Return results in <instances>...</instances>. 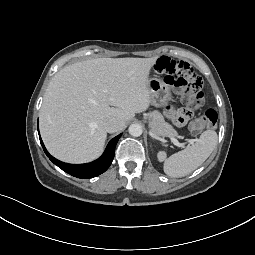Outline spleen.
<instances>
[{
  "instance_id": "obj_1",
  "label": "spleen",
  "mask_w": 255,
  "mask_h": 255,
  "mask_svg": "<svg viewBox=\"0 0 255 255\" xmlns=\"http://www.w3.org/2000/svg\"><path fill=\"white\" fill-rule=\"evenodd\" d=\"M218 136L214 130L204 131L195 144L167 158L164 151L157 154L158 160L164 162V172L170 177H183L201 166L217 145Z\"/></svg>"
}]
</instances>
